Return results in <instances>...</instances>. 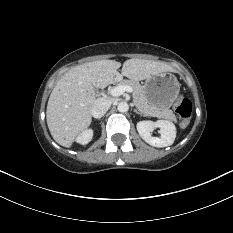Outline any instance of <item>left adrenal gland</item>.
Segmentation results:
<instances>
[{
	"instance_id": "obj_1",
	"label": "left adrenal gland",
	"mask_w": 233,
	"mask_h": 233,
	"mask_svg": "<svg viewBox=\"0 0 233 233\" xmlns=\"http://www.w3.org/2000/svg\"><path fill=\"white\" fill-rule=\"evenodd\" d=\"M136 114H140L142 116V113L138 112L136 109L133 110Z\"/></svg>"
}]
</instances>
